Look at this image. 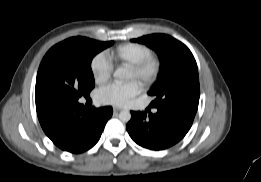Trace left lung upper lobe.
<instances>
[{"mask_svg": "<svg viewBox=\"0 0 261 182\" xmlns=\"http://www.w3.org/2000/svg\"><path fill=\"white\" fill-rule=\"evenodd\" d=\"M157 52L161 74L148 92L154 96L151 107L166 108L180 104L198 107L200 86L198 68L191 51L180 41L166 34H152L133 39Z\"/></svg>", "mask_w": 261, "mask_h": 182, "instance_id": "left-lung-upper-lobe-1", "label": "left lung upper lobe"}]
</instances>
